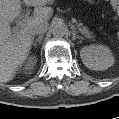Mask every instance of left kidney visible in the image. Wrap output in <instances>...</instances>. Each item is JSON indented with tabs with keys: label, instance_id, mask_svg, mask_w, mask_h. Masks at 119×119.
<instances>
[{
	"label": "left kidney",
	"instance_id": "obj_1",
	"mask_svg": "<svg viewBox=\"0 0 119 119\" xmlns=\"http://www.w3.org/2000/svg\"><path fill=\"white\" fill-rule=\"evenodd\" d=\"M83 64L90 70H106L113 66L115 59L111 50L104 45L84 46L80 50Z\"/></svg>",
	"mask_w": 119,
	"mask_h": 119
}]
</instances>
